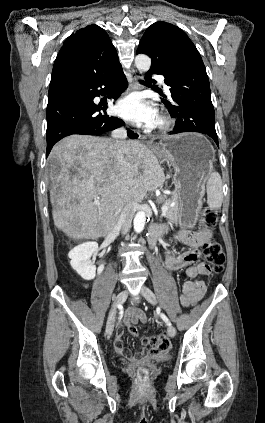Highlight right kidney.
<instances>
[{"instance_id":"obj_1","label":"right kidney","mask_w":265,"mask_h":423,"mask_svg":"<svg viewBox=\"0 0 265 423\" xmlns=\"http://www.w3.org/2000/svg\"><path fill=\"white\" fill-rule=\"evenodd\" d=\"M97 253V242H85L74 247L68 254V257L71 259V267L84 280H92L96 276V270L98 274H101L104 270V265H101L98 269H96V266L89 260L92 254Z\"/></svg>"}]
</instances>
